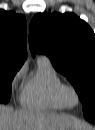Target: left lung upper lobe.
<instances>
[{
  "label": "left lung upper lobe",
  "mask_w": 95,
  "mask_h": 130,
  "mask_svg": "<svg viewBox=\"0 0 95 130\" xmlns=\"http://www.w3.org/2000/svg\"><path fill=\"white\" fill-rule=\"evenodd\" d=\"M32 55L46 54L54 68L66 76L82 102L84 116L95 120V35L73 13H40L31 21Z\"/></svg>",
  "instance_id": "5c2ea615"
}]
</instances>
